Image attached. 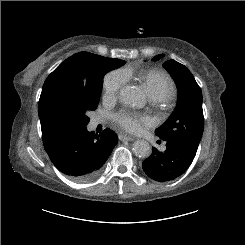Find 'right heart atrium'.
Masks as SVG:
<instances>
[{
	"label": "right heart atrium",
	"mask_w": 245,
	"mask_h": 245,
	"mask_svg": "<svg viewBox=\"0 0 245 245\" xmlns=\"http://www.w3.org/2000/svg\"><path fill=\"white\" fill-rule=\"evenodd\" d=\"M125 73L120 70H113L107 73L103 80V93L105 97L116 96L125 84Z\"/></svg>",
	"instance_id": "obj_1"
}]
</instances>
